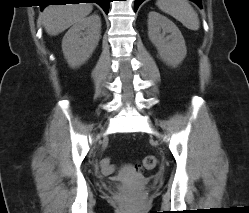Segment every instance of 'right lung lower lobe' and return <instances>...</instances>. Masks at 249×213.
<instances>
[{
	"mask_svg": "<svg viewBox=\"0 0 249 213\" xmlns=\"http://www.w3.org/2000/svg\"><path fill=\"white\" fill-rule=\"evenodd\" d=\"M83 1H86L88 3H93V2H96L98 3L102 8L103 10L108 13V10H109V2L111 0H47V2H52L54 4H66V3H77L79 4L80 2H83ZM46 5H42L41 8H44Z\"/></svg>",
	"mask_w": 249,
	"mask_h": 213,
	"instance_id": "right-lung-lower-lobe-1",
	"label": "right lung lower lobe"
}]
</instances>
